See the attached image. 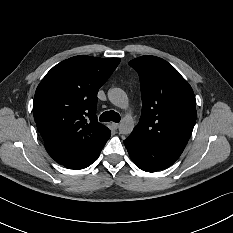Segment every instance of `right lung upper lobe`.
<instances>
[{
    "instance_id": "right-lung-upper-lobe-1",
    "label": "right lung upper lobe",
    "mask_w": 233,
    "mask_h": 233,
    "mask_svg": "<svg viewBox=\"0 0 233 233\" xmlns=\"http://www.w3.org/2000/svg\"><path fill=\"white\" fill-rule=\"evenodd\" d=\"M119 62L75 56L54 66L38 85L34 118L48 154L59 164L84 160L110 137L97 121V93Z\"/></svg>"
}]
</instances>
